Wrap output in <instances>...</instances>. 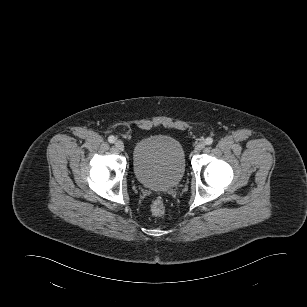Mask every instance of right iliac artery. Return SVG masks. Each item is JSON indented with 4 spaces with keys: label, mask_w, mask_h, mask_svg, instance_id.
I'll use <instances>...</instances> for the list:
<instances>
[{
    "label": "right iliac artery",
    "mask_w": 307,
    "mask_h": 307,
    "mask_svg": "<svg viewBox=\"0 0 307 307\" xmlns=\"http://www.w3.org/2000/svg\"><path fill=\"white\" fill-rule=\"evenodd\" d=\"M115 137L114 136H109L108 137V141L110 142V143H114L115 142Z\"/></svg>",
    "instance_id": "82829eb1"
}]
</instances>
